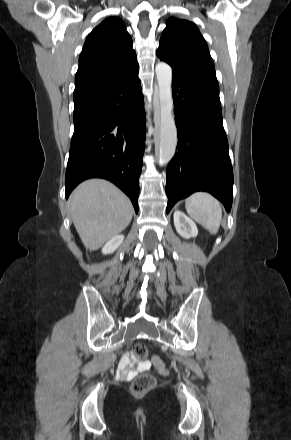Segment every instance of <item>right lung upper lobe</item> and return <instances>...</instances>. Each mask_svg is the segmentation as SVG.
I'll list each match as a JSON object with an SVG mask.
<instances>
[{"label": "right lung upper lobe", "mask_w": 291, "mask_h": 440, "mask_svg": "<svg viewBox=\"0 0 291 440\" xmlns=\"http://www.w3.org/2000/svg\"><path fill=\"white\" fill-rule=\"evenodd\" d=\"M123 21L106 18L87 37L79 57L75 89L113 82L139 69Z\"/></svg>", "instance_id": "right-lung-upper-lobe-1"}]
</instances>
